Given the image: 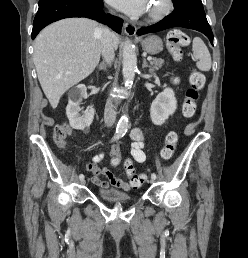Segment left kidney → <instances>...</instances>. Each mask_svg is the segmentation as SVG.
<instances>
[{"label":"left kidney","instance_id":"left-kidney-1","mask_svg":"<svg viewBox=\"0 0 248 258\" xmlns=\"http://www.w3.org/2000/svg\"><path fill=\"white\" fill-rule=\"evenodd\" d=\"M176 109L177 101L174 91L171 88H165L151 104L150 117L153 124L163 125Z\"/></svg>","mask_w":248,"mask_h":258}]
</instances>
